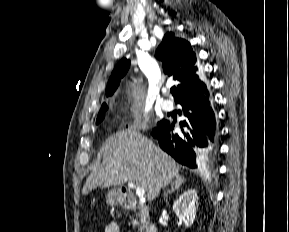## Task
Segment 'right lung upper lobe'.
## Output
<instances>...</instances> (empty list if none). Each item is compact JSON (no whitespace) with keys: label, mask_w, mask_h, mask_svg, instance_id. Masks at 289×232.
<instances>
[{"label":"right lung upper lobe","mask_w":289,"mask_h":232,"mask_svg":"<svg viewBox=\"0 0 289 232\" xmlns=\"http://www.w3.org/2000/svg\"><path fill=\"white\" fill-rule=\"evenodd\" d=\"M156 57L162 60L164 72L179 82L173 94L176 102L209 92L196 65V54L185 39L175 37L172 32L166 33L156 51ZM129 66L130 61L125 58L116 65L107 84L106 96L114 93Z\"/></svg>","instance_id":"obj_1"}]
</instances>
